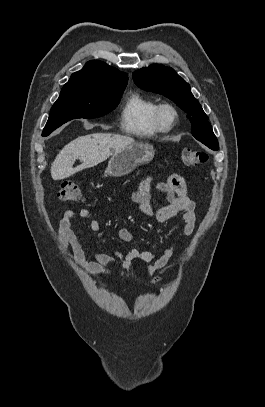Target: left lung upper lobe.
Wrapping results in <instances>:
<instances>
[{"label": "left lung upper lobe", "instance_id": "obj_1", "mask_svg": "<svg viewBox=\"0 0 265 407\" xmlns=\"http://www.w3.org/2000/svg\"><path fill=\"white\" fill-rule=\"evenodd\" d=\"M133 79L140 88L162 94L171 99L187 113L193 136L207 147L218 150L219 144L213 133L208 116L191 93L189 84L172 68L151 65L133 73Z\"/></svg>", "mask_w": 265, "mask_h": 407}]
</instances>
